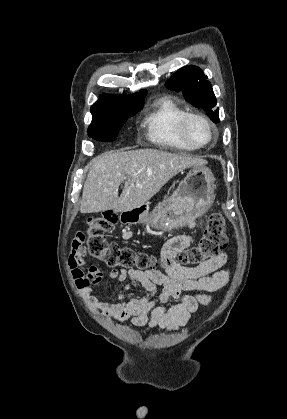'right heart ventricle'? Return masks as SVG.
<instances>
[{
    "label": "right heart ventricle",
    "instance_id": "right-heart-ventricle-1",
    "mask_svg": "<svg viewBox=\"0 0 287 419\" xmlns=\"http://www.w3.org/2000/svg\"><path fill=\"white\" fill-rule=\"evenodd\" d=\"M186 111L173 99L161 97L153 102L143 119L147 139L169 149L194 150L178 132V121Z\"/></svg>",
    "mask_w": 287,
    "mask_h": 419
}]
</instances>
